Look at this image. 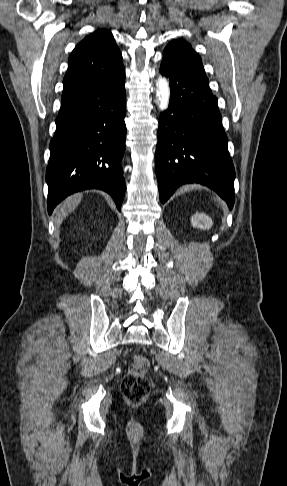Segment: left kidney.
Instances as JSON below:
<instances>
[{
    "instance_id": "left-kidney-1",
    "label": "left kidney",
    "mask_w": 287,
    "mask_h": 486,
    "mask_svg": "<svg viewBox=\"0 0 287 486\" xmlns=\"http://www.w3.org/2000/svg\"><path fill=\"white\" fill-rule=\"evenodd\" d=\"M191 224L194 228L201 230L210 229L213 225L212 219L204 213H195L191 217Z\"/></svg>"
}]
</instances>
